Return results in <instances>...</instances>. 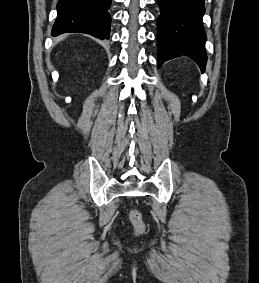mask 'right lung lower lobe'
<instances>
[{
	"instance_id": "right-lung-lower-lobe-1",
	"label": "right lung lower lobe",
	"mask_w": 259,
	"mask_h": 283,
	"mask_svg": "<svg viewBox=\"0 0 259 283\" xmlns=\"http://www.w3.org/2000/svg\"><path fill=\"white\" fill-rule=\"evenodd\" d=\"M111 0H59L52 36L62 33H86L101 40L108 39Z\"/></svg>"
}]
</instances>
